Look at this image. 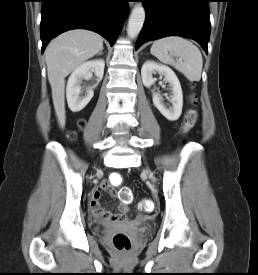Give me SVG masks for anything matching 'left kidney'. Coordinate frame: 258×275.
I'll use <instances>...</instances> for the list:
<instances>
[{"mask_svg": "<svg viewBox=\"0 0 258 275\" xmlns=\"http://www.w3.org/2000/svg\"><path fill=\"white\" fill-rule=\"evenodd\" d=\"M159 73L164 75V79L172 87V96L170 101L172 107L167 108L159 94H153V103L160 113L169 121L177 120L182 113L183 94L180 82L174 71L166 66L153 61H146L141 68L142 82L144 86L150 87L154 84L153 74Z\"/></svg>", "mask_w": 258, "mask_h": 275, "instance_id": "5707ae66", "label": "left kidney"}]
</instances>
